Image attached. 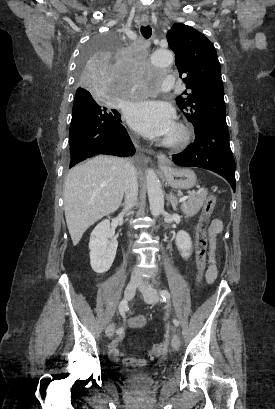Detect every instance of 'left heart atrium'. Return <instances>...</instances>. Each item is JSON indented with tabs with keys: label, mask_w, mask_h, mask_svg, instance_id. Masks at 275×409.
Here are the masks:
<instances>
[{
	"label": "left heart atrium",
	"mask_w": 275,
	"mask_h": 409,
	"mask_svg": "<svg viewBox=\"0 0 275 409\" xmlns=\"http://www.w3.org/2000/svg\"><path fill=\"white\" fill-rule=\"evenodd\" d=\"M125 116L135 130L150 138L166 136L174 127L172 107L156 100H140L128 104Z\"/></svg>",
	"instance_id": "39dd6f15"
}]
</instances>
